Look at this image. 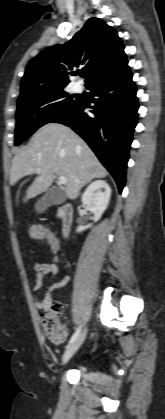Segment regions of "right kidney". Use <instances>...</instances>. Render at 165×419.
<instances>
[{
	"mask_svg": "<svg viewBox=\"0 0 165 419\" xmlns=\"http://www.w3.org/2000/svg\"><path fill=\"white\" fill-rule=\"evenodd\" d=\"M111 196V188L104 180L92 182L82 195V202L94 214V222H97L107 209ZM92 225L78 226L77 232L90 228Z\"/></svg>",
	"mask_w": 165,
	"mask_h": 419,
	"instance_id": "ca27d5eb",
	"label": "right kidney"
}]
</instances>
